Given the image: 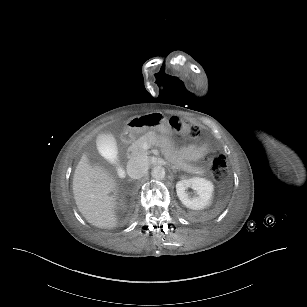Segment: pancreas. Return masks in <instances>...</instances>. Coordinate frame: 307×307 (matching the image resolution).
Returning a JSON list of instances; mask_svg holds the SVG:
<instances>
[{"label": "pancreas", "mask_w": 307, "mask_h": 307, "mask_svg": "<svg viewBox=\"0 0 307 307\" xmlns=\"http://www.w3.org/2000/svg\"><path fill=\"white\" fill-rule=\"evenodd\" d=\"M149 142H152L161 148L163 147L166 150L169 149L171 146L169 142L167 141L165 142L158 135L155 136L153 134L152 135L146 134L140 137L139 139H137L132 144V148L130 149L132 151V155L133 156H146L147 152L143 149V145ZM164 156L170 163H172L177 168H180L184 164V161L180 157H178L176 154L170 151L165 152Z\"/></svg>", "instance_id": "pancreas-1"}]
</instances>
